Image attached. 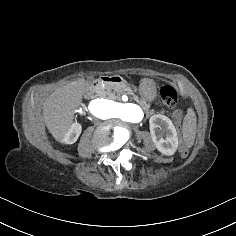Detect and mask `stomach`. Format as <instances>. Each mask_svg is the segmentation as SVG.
Returning a JSON list of instances; mask_svg holds the SVG:
<instances>
[{
  "label": "stomach",
  "mask_w": 236,
  "mask_h": 236,
  "mask_svg": "<svg viewBox=\"0 0 236 236\" xmlns=\"http://www.w3.org/2000/svg\"><path fill=\"white\" fill-rule=\"evenodd\" d=\"M127 89H130V86H127ZM132 90L140 93V96L147 101L155 99L158 95L157 87L155 82L151 79H144L141 81L140 89L132 87Z\"/></svg>",
  "instance_id": "0dacf381"
}]
</instances>
